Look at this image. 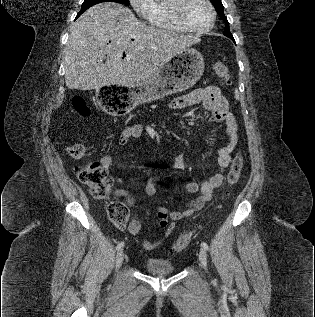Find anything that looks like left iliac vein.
Segmentation results:
<instances>
[{
    "label": "left iliac vein",
    "instance_id": "left-iliac-vein-1",
    "mask_svg": "<svg viewBox=\"0 0 315 317\" xmlns=\"http://www.w3.org/2000/svg\"><path fill=\"white\" fill-rule=\"evenodd\" d=\"M199 261L202 267L207 270V253L204 248H201L199 251Z\"/></svg>",
    "mask_w": 315,
    "mask_h": 317
}]
</instances>
